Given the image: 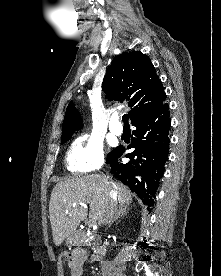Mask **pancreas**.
<instances>
[{"instance_id":"1","label":"pancreas","mask_w":221,"mask_h":276,"mask_svg":"<svg viewBox=\"0 0 221 276\" xmlns=\"http://www.w3.org/2000/svg\"><path fill=\"white\" fill-rule=\"evenodd\" d=\"M91 244H93L94 249L97 248V244H96L95 241H94V236H90V237L87 239L86 245H87V246H91Z\"/></svg>"}]
</instances>
